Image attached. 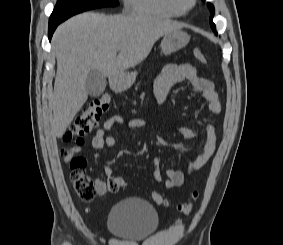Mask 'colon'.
<instances>
[{
  "mask_svg": "<svg viewBox=\"0 0 283 245\" xmlns=\"http://www.w3.org/2000/svg\"><path fill=\"white\" fill-rule=\"evenodd\" d=\"M193 56L200 63H206V57L199 48L193 49ZM110 97L102 96L92 100L84 107L74 118L72 124L64 135V141L74 143V148L83 143V137L91 132L100 122L101 117L110 108ZM65 152V150H63ZM86 160L81 156H75L69 159V167L71 170L70 178L75 194L79 199L85 202L91 201L96 193V182L89 177L85 172ZM125 182L121 177H111L107 181V193H116L119 191ZM153 201L158 205L167 206V201L164 197L153 192L151 194ZM198 199V193L192 194L191 201L177 206V211L180 214L187 215L193 207V202Z\"/></svg>",
  "mask_w": 283,
  "mask_h": 245,
  "instance_id": "obj_1",
  "label": "colon"
}]
</instances>
